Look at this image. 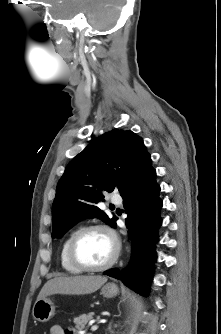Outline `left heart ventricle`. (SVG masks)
Masks as SVG:
<instances>
[{
	"mask_svg": "<svg viewBox=\"0 0 221 334\" xmlns=\"http://www.w3.org/2000/svg\"><path fill=\"white\" fill-rule=\"evenodd\" d=\"M114 251L113 240L103 230H92L85 233L78 241L76 253L78 258L90 266L106 263Z\"/></svg>",
	"mask_w": 221,
	"mask_h": 334,
	"instance_id": "b2bd125f",
	"label": "left heart ventricle"
}]
</instances>
